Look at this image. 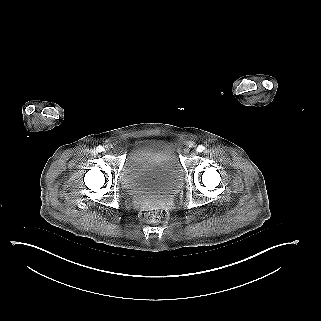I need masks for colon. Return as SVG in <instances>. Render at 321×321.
<instances>
[{"label":"colon","instance_id":"5ec220e1","mask_svg":"<svg viewBox=\"0 0 321 321\" xmlns=\"http://www.w3.org/2000/svg\"><path fill=\"white\" fill-rule=\"evenodd\" d=\"M168 215L167 208L160 205L148 206L140 214L142 220L152 223L163 222L168 218Z\"/></svg>","mask_w":321,"mask_h":321}]
</instances>
